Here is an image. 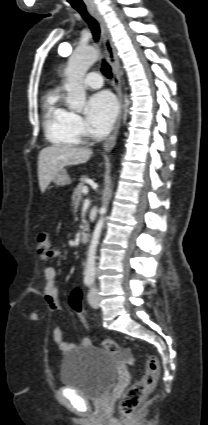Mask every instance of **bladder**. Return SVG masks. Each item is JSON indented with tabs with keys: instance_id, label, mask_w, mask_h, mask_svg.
Here are the masks:
<instances>
[{
	"instance_id": "bladder-1",
	"label": "bladder",
	"mask_w": 208,
	"mask_h": 425,
	"mask_svg": "<svg viewBox=\"0 0 208 425\" xmlns=\"http://www.w3.org/2000/svg\"><path fill=\"white\" fill-rule=\"evenodd\" d=\"M117 379L113 355L95 346L79 347L65 356L61 381L92 401L103 399Z\"/></svg>"
}]
</instances>
